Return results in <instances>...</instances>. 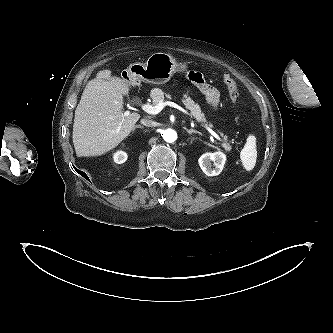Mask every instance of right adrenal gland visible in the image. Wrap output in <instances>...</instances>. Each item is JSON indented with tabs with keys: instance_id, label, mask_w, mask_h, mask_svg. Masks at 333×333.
<instances>
[{
	"instance_id": "right-adrenal-gland-1",
	"label": "right adrenal gland",
	"mask_w": 333,
	"mask_h": 333,
	"mask_svg": "<svg viewBox=\"0 0 333 333\" xmlns=\"http://www.w3.org/2000/svg\"><path fill=\"white\" fill-rule=\"evenodd\" d=\"M136 128H143V126H141V125H135V126L133 127V129H132V133L135 131Z\"/></svg>"
}]
</instances>
